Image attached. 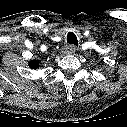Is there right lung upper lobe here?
I'll use <instances>...</instances> for the list:
<instances>
[{
    "instance_id": "obj_1",
    "label": "right lung upper lobe",
    "mask_w": 127,
    "mask_h": 127,
    "mask_svg": "<svg viewBox=\"0 0 127 127\" xmlns=\"http://www.w3.org/2000/svg\"><path fill=\"white\" fill-rule=\"evenodd\" d=\"M38 62L37 61H31L29 62V67L32 69H36L38 67Z\"/></svg>"
}]
</instances>
